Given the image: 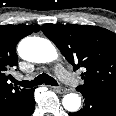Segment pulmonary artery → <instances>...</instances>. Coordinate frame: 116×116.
Masks as SVG:
<instances>
[{"mask_svg":"<svg viewBox=\"0 0 116 116\" xmlns=\"http://www.w3.org/2000/svg\"><path fill=\"white\" fill-rule=\"evenodd\" d=\"M56 74L59 77L61 81H63L65 84L70 86H77L79 84V81L76 77H74L73 74L65 70L63 67H57L56 68ZM20 79V77H19Z\"/></svg>","mask_w":116,"mask_h":116,"instance_id":"e3ab8cb5","label":"pulmonary artery"}]
</instances>
